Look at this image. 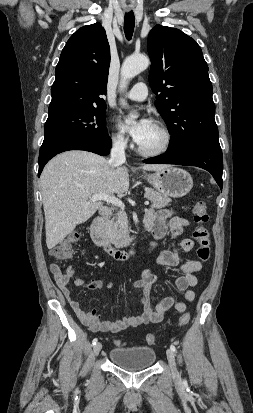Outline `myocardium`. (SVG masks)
I'll list each match as a JSON object with an SVG mask.
<instances>
[{
  "mask_svg": "<svg viewBox=\"0 0 253 413\" xmlns=\"http://www.w3.org/2000/svg\"><path fill=\"white\" fill-rule=\"evenodd\" d=\"M155 124V126L161 131L162 135H163V142L162 144L156 148V149H152V150H147L144 149L142 147L137 146V151L139 154L143 155V156H147V157H154V156H158L161 155L165 152L168 151V149L170 148L171 144H172V132L169 129V127L162 121L160 120H155L153 122Z\"/></svg>",
  "mask_w": 253,
  "mask_h": 413,
  "instance_id": "f54148a6",
  "label": "myocardium"
}]
</instances>
